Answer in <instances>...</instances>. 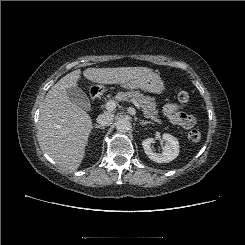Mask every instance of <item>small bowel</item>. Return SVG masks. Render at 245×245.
<instances>
[{
  "instance_id": "c3829d8e",
  "label": "small bowel",
  "mask_w": 245,
  "mask_h": 245,
  "mask_svg": "<svg viewBox=\"0 0 245 245\" xmlns=\"http://www.w3.org/2000/svg\"><path fill=\"white\" fill-rule=\"evenodd\" d=\"M164 115L174 124L185 129L195 126L196 118L194 115L182 113L179 106L175 103H169L164 107Z\"/></svg>"
}]
</instances>
